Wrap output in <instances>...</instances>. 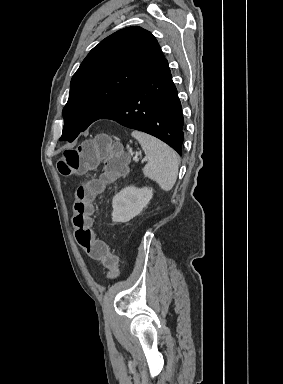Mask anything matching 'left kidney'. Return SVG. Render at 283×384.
Segmentation results:
<instances>
[{
  "mask_svg": "<svg viewBox=\"0 0 283 384\" xmlns=\"http://www.w3.org/2000/svg\"><path fill=\"white\" fill-rule=\"evenodd\" d=\"M152 198L151 188H134V186L123 188L113 198V222H129L142 212Z\"/></svg>",
  "mask_w": 283,
  "mask_h": 384,
  "instance_id": "1",
  "label": "left kidney"
}]
</instances>
